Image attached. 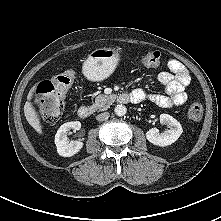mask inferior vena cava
Listing matches in <instances>:
<instances>
[{"label": "inferior vena cava", "instance_id": "1", "mask_svg": "<svg viewBox=\"0 0 221 221\" xmlns=\"http://www.w3.org/2000/svg\"><path fill=\"white\" fill-rule=\"evenodd\" d=\"M110 114L108 112H103L101 114H98L96 116V120L97 121H105L109 118Z\"/></svg>", "mask_w": 221, "mask_h": 221}]
</instances>
